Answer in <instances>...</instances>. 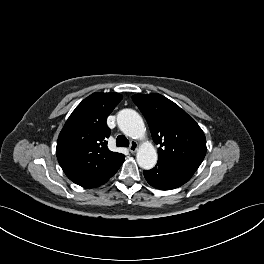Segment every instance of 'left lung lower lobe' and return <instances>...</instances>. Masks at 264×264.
<instances>
[{"label": "left lung lower lobe", "mask_w": 264, "mask_h": 264, "mask_svg": "<svg viewBox=\"0 0 264 264\" xmlns=\"http://www.w3.org/2000/svg\"><path fill=\"white\" fill-rule=\"evenodd\" d=\"M196 169L176 161L158 159L151 170H144L147 182L160 190H171L185 184L195 173Z\"/></svg>", "instance_id": "obj_1"}]
</instances>
